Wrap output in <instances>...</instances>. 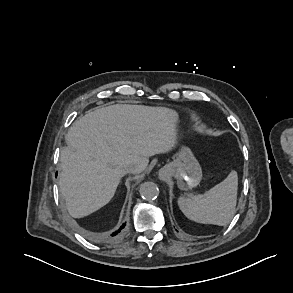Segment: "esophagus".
<instances>
[{
  "mask_svg": "<svg viewBox=\"0 0 293 293\" xmlns=\"http://www.w3.org/2000/svg\"><path fill=\"white\" fill-rule=\"evenodd\" d=\"M165 176V173H163V171L160 172V177Z\"/></svg>",
  "mask_w": 293,
  "mask_h": 293,
  "instance_id": "esophagus-1",
  "label": "esophagus"
}]
</instances>
